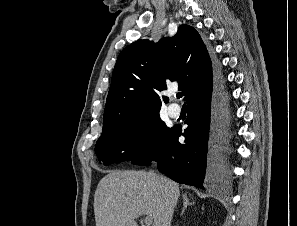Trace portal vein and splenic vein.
<instances>
[{
	"label": "portal vein and splenic vein",
	"mask_w": 297,
	"mask_h": 226,
	"mask_svg": "<svg viewBox=\"0 0 297 226\" xmlns=\"http://www.w3.org/2000/svg\"><path fill=\"white\" fill-rule=\"evenodd\" d=\"M145 223H146V224H151V223H152V217H151V215H147V216L145 217Z\"/></svg>",
	"instance_id": "18ae733b"
}]
</instances>
